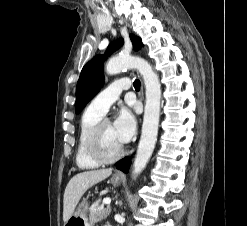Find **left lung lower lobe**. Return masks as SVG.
I'll use <instances>...</instances> for the list:
<instances>
[{"label":"left lung lower lobe","mask_w":247,"mask_h":226,"mask_svg":"<svg viewBox=\"0 0 247 226\" xmlns=\"http://www.w3.org/2000/svg\"><path fill=\"white\" fill-rule=\"evenodd\" d=\"M130 163V159L128 157H125L118 162L117 169L127 173L130 167Z\"/></svg>","instance_id":"0a47b994"}]
</instances>
